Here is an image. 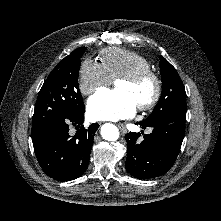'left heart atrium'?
Listing matches in <instances>:
<instances>
[{"mask_svg":"<svg viewBox=\"0 0 221 221\" xmlns=\"http://www.w3.org/2000/svg\"><path fill=\"white\" fill-rule=\"evenodd\" d=\"M137 107L127 92L104 89L89 98L87 113L93 120H119L133 116Z\"/></svg>","mask_w":221,"mask_h":221,"instance_id":"39dd6f15","label":"left heart atrium"}]
</instances>
